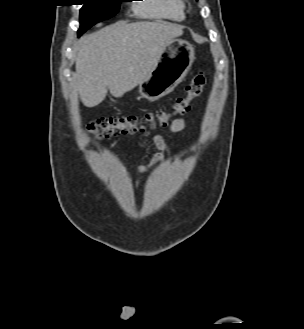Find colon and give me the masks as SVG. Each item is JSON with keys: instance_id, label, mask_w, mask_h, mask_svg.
<instances>
[{"instance_id": "obj_1", "label": "colon", "mask_w": 304, "mask_h": 329, "mask_svg": "<svg viewBox=\"0 0 304 329\" xmlns=\"http://www.w3.org/2000/svg\"><path fill=\"white\" fill-rule=\"evenodd\" d=\"M206 76L203 72L196 73L186 87V95L176 99L173 110H157L143 116L104 117L89 125V131L96 138H105L118 134H135L146 132L148 128L168 125L172 116L185 114L190 109V103L198 97L205 85Z\"/></svg>"}]
</instances>
